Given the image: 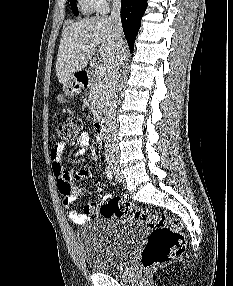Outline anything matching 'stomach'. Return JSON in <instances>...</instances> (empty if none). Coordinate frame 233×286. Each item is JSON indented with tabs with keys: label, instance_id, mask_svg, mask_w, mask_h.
<instances>
[{
	"label": "stomach",
	"instance_id": "1",
	"mask_svg": "<svg viewBox=\"0 0 233 286\" xmlns=\"http://www.w3.org/2000/svg\"><path fill=\"white\" fill-rule=\"evenodd\" d=\"M63 92L65 96H72L74 95V91L72 90L71 82L68 80L63 87ZM64 95H59L57 97V101L59 104H63L65 102Z\"/></svg>",
	"mask_w": 233,
	"mask_h": 286
}]
</instances>
